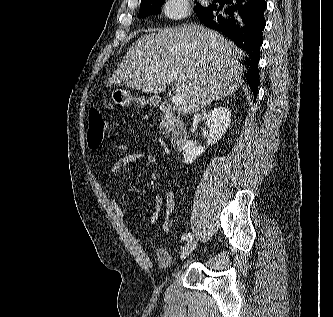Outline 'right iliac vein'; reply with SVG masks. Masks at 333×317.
I'll return each instance as SVG.
<instances>
[{"instance_id":"right-iliac-vein-1","label":"right iliac vein","mask_w":333,"mask_h":317,"mask_svg":"<svg viewBox=\"0 0 333 317\" xmlns=\"http://www.w3.org/2000/svg\"><path fill=\"white\" fill-rule=\"evenodd\" d=\"M197 244L195 240L188 241L181 250L180 258L183 260L188 257L195 250Z\"/></svg>"}]
</instances>
